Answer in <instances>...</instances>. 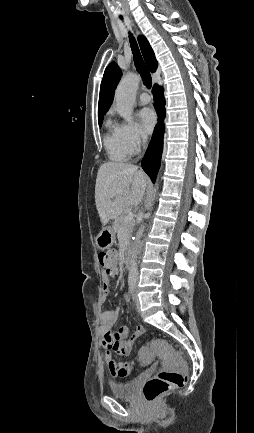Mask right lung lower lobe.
<instances>
[{"label":"right lung lower lobe","instance_id":"obj_1","mask_svg":"<svg viewBox=\"0 0 254 433\" xmlns=\"http://www.w3.org/2000/svg\"><path fill=\"white\" fill-rule=\"evenodd\" d=\"M153 96H154V106L158 113L159 119L154 129L151 142L142 160V167L154 182L157 175V171L160 166L161 155L163 151L164 117H165V99L163 96V89L158 85H155L153 87Z\"/></svg>","mask_w":254,"mask_h":433}]
</instances>
